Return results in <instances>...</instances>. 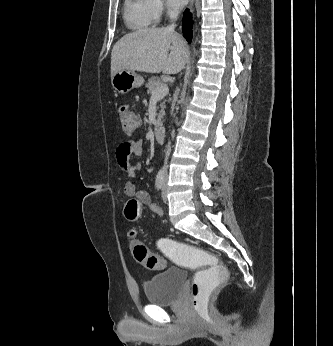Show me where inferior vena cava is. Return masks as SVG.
Returning a JSON list of instances; mask_svg holds the SVG:
<instances>
[{
	"label": "inferior vena cava",
	"mask_w": 333,
	"mask_h": 346,
	"mask_svg": "<svg viewBox=\"0 0 333 346\" xmlns=\"http://www.w3.org/2000/svg\"><path fill=\"white\" fill-rule=\"evenodd\" d=\"M178 10L176 8L172 9L171 11H169V16H170V19L172 20V24L168 26V29L174 31V28H175V23L174 21L177 19L178 17ZM169 152H170V142L168 143V147H167V151H166V156H165V167H166V164H167V159H168V156H169Z\"/></svg>",
	"instance_id": "1"
}]
</instances>
